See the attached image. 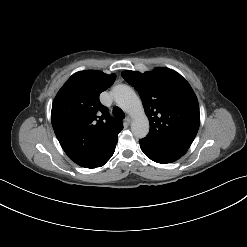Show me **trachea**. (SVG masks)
I'll return each mask as SVG.
<instances>
[{
    "mask_svg": "<svg viewBox=\"0 0 247 247\" xmlns=\"http://www.w3.org/2000/svg\"><path fill=\"white\" fill-rule=\"evenodd\" d=\"M113 115L119 119H123L125 117V113L118 107L113 108Z\"/></svg>",
    "mask_w": 247,
    "mask_h": 247,
    "instance_id": "3493384b",
    "label": "trachea"
}]
</instances>
